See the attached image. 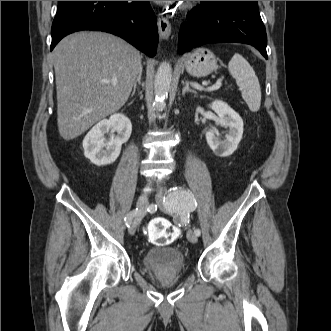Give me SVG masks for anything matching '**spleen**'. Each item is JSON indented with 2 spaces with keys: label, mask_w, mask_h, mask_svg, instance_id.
<instances>
[{
  "label": "spleen",
  "mask_w": 331,
  "mask_h": 331,
  "mask_svg": "<svg viewBox=\"0 0 331 331\" xmlns=\"http://www.w3.org/2000/svg\"><path fill=\"white\" fill-rule=\"evenodd\" d=\"M229 73L242 89V98L252 112H257L261 104V88L255 71L248 61L235 53L228 64Z\"/></svg>",
  "instance_id": "obj_1"
}]
</instances>
